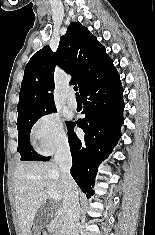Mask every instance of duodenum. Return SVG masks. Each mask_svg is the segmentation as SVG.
Listing matches in <instances>:
<instances>
[{
  "label": "duodenum",
  "mask_w": 155,
  "mask_h": 235,
  "mask_svg": "<svg viewBox=\"0 0 155 235\" xmlns=\"http://www.w3.org/2000/svg\"><path fill=\"white\" fill-rule=\"evenodd\" d=\"M63 215V212L61 210L57 211V217H61ZM54 235H57V233H55Z\"/></svg>",
  "instance_id": "obj_1"
}]
</instances>
